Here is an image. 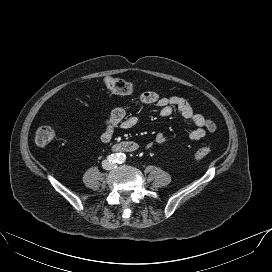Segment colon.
<instances>
[{
	"label": "colon",
	"mask_w": 272,
	"mask_h": 272,
	"mask_svg": "<svg viewBox=\"0 0 272 272\" xmlns=\"http://www.w3.org/2000/svg\"><path fill=\"white\" fill-rule=\"evenodd\" d=\"M104 85L111 92L121 95L131 94L134 91V85L132 82L112 76L104 78ZM55 137V131L51 126L43 125L40 126L35 132V143L38 146L49 145ZM211 146H205L195 151L193 157L195 160H201L207 157L212 152Z\"/></svg>",
	"instance_id": "obj_1"
}]
</instances>
